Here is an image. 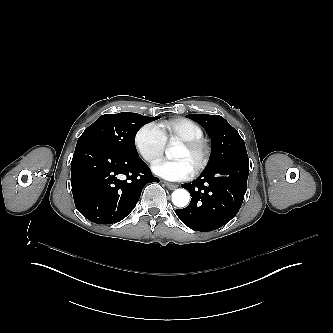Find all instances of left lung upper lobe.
Listing matches in <instances>:
<instances>
[{"label":"left lung upper lobe","instance_id":"obj_1","mask_svg":"<svg viewBox=\"0 0 333 333\" xmlns=\"http://www.w3.org/2000/svg\"><path fill=\"white\" fill-rule=\"evenodd\" d=\"M187 117L205 128L212 140V159L205 172L232 159L248 158L243 139L223 117L208 114H190Z\"/></svg>","mask_w":333,"mask_h":333}]
</instances>
